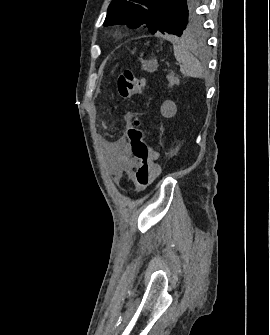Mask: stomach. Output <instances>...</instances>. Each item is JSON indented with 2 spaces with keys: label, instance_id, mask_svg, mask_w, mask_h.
Returning <instances> with one entry per match:
<instances>
[{
  "label": "stomach",
  "instance_id": "obj_1",
  "mask_svg": "<svg viewBox=\"0 0 270 335\" xmlns=\"http://www.w3.org/2000/svg\"><path fill=\"white\" fill-rule=\"evenodd\" d=\"M157 66V60H143L142 62V70H147V72H155Z\"/></svg>",
  "mask_w": 270,
  "mask_h": 335
}]
</instances>
